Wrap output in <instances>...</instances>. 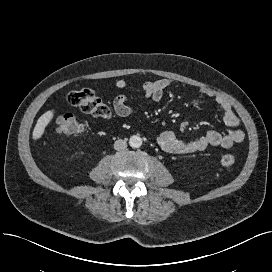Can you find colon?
I'll return each mask as SVG.
<instances>
[{"label":"colon","instance_id":"1","mask_svg":"<svg viewBox=\"0 0 272 272\" xmlns=\"http://www.w3.org/2000/svg\"><path fill=\"white\" fill-rule=\"evenodd\" d=\"M67 101L70 105L79 107L83 112L94 117L108 119L111 116L109 105L89 89L70 92L67 95ZM55 123L56 131L60 134L72 135L84 130V124L73 115H60L56 118ZM221 163L225 167H232L236 159L231 154H224L221 157Z\"/></svg>","mask_w":272,"mask_h":272}]
</instances>
